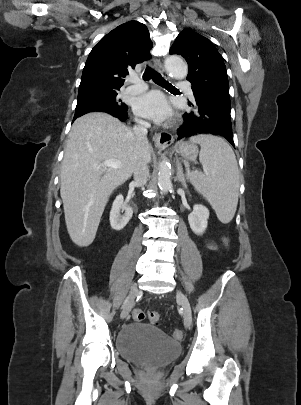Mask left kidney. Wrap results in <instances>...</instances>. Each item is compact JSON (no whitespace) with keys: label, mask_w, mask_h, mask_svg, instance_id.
I'll return each mask as SVG.
<instances>
[{"label":"left kidney","mask_w":301,"mask_h":405,"mask_svg":"<svg viewBox=\"0 0 301 405\" xmlns=\"http://www.w3.org/2000/svg\"><path fill=\"white\" fill-rule=\"evenodd\" d=\"M209 210L200 204L193 207V211L188 216L190 228L196 235H202L208 225Z\"/></svg>","instance_id":"5707ae66"}]
</instances>
